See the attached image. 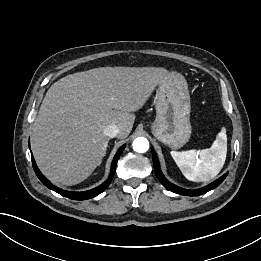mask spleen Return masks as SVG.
I'll return each instance as SVG.
<instances>
[{"instance_id": "spleen-1", "label": "spleen", "mask_w": 261, "mask_h": 261, "mask_svg": "<svg viewBox=\"0 0 261 261\" xmlns=\"http://www.w3.org/2000/svg\"><path fill=\"white\" fill-rule=\"evenodd\" d=\"M227 154V136L225 128L218 133L212 146L199 152L189 150L184 152L171 151L175 163L190 181L206 182L221 171Z\"/></svg>"}]
</instances>
